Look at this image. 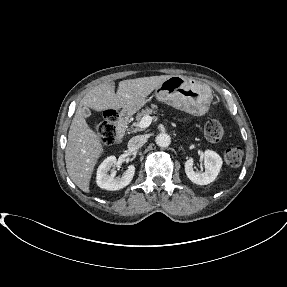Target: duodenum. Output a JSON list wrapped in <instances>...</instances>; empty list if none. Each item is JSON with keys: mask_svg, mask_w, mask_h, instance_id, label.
I'll use <instances>...</instances> for the list:
<instances>
[{"mask_svg": "<svg viewBox=\"0 0 287 287\" xmlns=\"http://www.w3.org/2000/svg\"><path fill=\"white\" fill-rule=\"evenodd\" d=\"M129 115L126 112L121 113L116 129V141L121 142L127 133Z\"/></svg>", "mask_w": 287, "mask_h": 287, "instance_id": "obj_1", "label": "duodenum"}]
</instances>
